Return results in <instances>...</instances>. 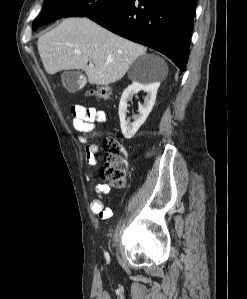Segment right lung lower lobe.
I'll use <instances>...</instances> for the list:
<instances>
[{"mask_svg": "<svg viewBox=\"0 0 247 299\" xmlns=\"http://www.w3.org/2000/svg\"><path fill=\"white\" fill-rule=\"evenodd\" d=\"M197 0H125L88 18L126 39L153 48L185 71Z\"/></svg>", "mask_w": 247, "mask_h": 299, "instance_id": "obj_1", "label": "right lung lower lobe"}]
</instances>
